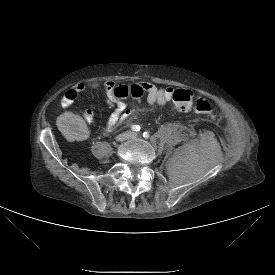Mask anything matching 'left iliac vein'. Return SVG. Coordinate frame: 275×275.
Instances as JSON below:
<instances>
[{
  "mask_svg": "<svg viewBox=\"0 0 275 275\" xmlns=\"http://www.w3.org/2000/svg\"><path fill=\"white\" fill-rule=\"evenodd\" d=\"M130 138H132V139L138 138V134L137 133H132Z\"/></svg>",
  "mask_w": 275,
  "mask_h": 275,
  "instance_id": "obj_1",
  "label": "left iliac vein"
}]
</instances>
